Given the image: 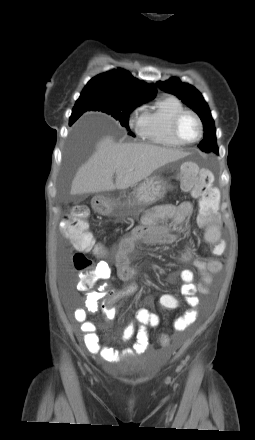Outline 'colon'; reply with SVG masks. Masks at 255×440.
I'll return each instance as SVG.
<instances>
[{
  "label": "colon",
  "instance_id": "5ec220e1",
  "mask_svg": "<svg viewBox=\"0 0 255 440\" xmlns=\"http://www.w3.org/2000/svg\"><path fill=\"white\" fill-rule=\"evenodd\" d=\"M179 183L183 190L189 191L199 202L202 219L209 220L218 210L219 193L212 187L213 174L209 169L199 168L195 164H185L179 175ZM89 210L85 206H74L62 220L60 227L63 235L76 249L73 255L74 269L81 274L77 287L88 289L97 281L96 269L86 252L95 247L92 232L89 229ZM163 311H178L179 298H159ZM159 345L162 352H169L172 342L167 334H159Z\"/></svg>",
  "mask_w": 255,
  "mask_h": 440
}]
</instances>
